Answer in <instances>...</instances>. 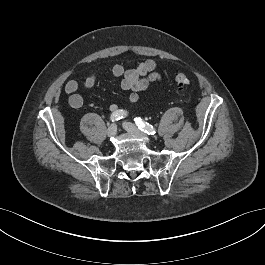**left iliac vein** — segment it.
<instances>
[{
	"label": "left iliac vein",
	"instance_id": "obj_1",
	"mask_svg": "<svg viewBox=\"0 0 265 265\" xmlns=\"http://www.w3.org/2000/svg\"><path fill=\"white\" fill-rule=\"evenodd\" d=\"M123 126L129 133L148 139L147 135L141 132L134 124L130 122H124Z\"/></svg>",
	"mask_w": 265,
	"mask_h": 265
}]
</instances>
